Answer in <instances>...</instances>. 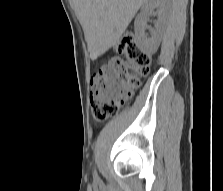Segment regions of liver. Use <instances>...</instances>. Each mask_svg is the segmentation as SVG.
<instances>
[{
  "instance_id": "obj_1",
  "label": "liver",
  "mask_w": 223,
  "mask_h": 191,
  "mask_svg": "<svg viewBox=\"0 0 223 191\" xmlns=\"http://www.w3.org/2000/svg\"><path fill=\"white\" fill-rule=\"evenodd\" d=\"M146 0H72L93 60L115 45Z\"/></svg>"
}]
</instances>
